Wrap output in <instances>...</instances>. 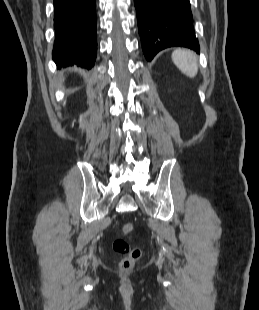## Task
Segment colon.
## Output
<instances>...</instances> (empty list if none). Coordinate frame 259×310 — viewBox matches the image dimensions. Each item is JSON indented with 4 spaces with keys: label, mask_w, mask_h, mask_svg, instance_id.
<instances>
[{
    "label": "colon",
    "mask_w": 259,
    "mask_h": 310,
    "mask_svg": "<svg viewBox=\"0 0 259 310\" xmlns=\"http://www.w3.org/2000/svg\"><path fill=\"white\" fill-rule=\"evenodd\" d=\"M122 236L130 235L133 232V225L131 223H124L120 227ZM113 249L116 253L123 255L120 261L122 269H131L141 257V250L137 247H131L123 237H117L113 241Z\"/></svg>",
    "instance_id": "obj_1"
}]
</instances>
